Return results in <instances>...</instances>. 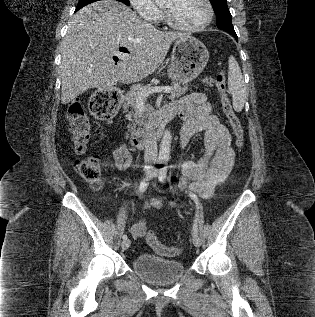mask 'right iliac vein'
I'll return each mask as SVG.
<instances>
[{
	"mask_svg": "<svg viewBox=\"0 0 315 317\" xmlns=\"http://www.w3.org/2000/svg\"><path fill=\"white\" fill-rule=\"evenodd\" d=\"M147 175H149V173ZM130 244H131L130 240L129 239H125V240L122 241L121 247H122L123 250H126V249L129 248Z\"/></svg>",
	"mask_w": 315,
	"mask_h": 317,
	"instance_id": "right-iliac-vein-1",
	"label": "right iliac vein"
}]
</instances>
